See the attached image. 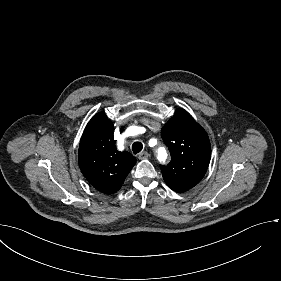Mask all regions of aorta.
<instances>
[{
	"mask_svg": "<svg viewBox=\"0 0 281 281\" xmlns=\"http://www.w3.org/2000/svg\"><path fill=\"white\" fill-rule=\"evenodd\" d=\"M158 153H159V156H160V157H162V158H165V157H166V153H165V151H164L163 148H160V149L158 150Z\"/></svg>",
	"mask_w": 281,
	"mask_h": 281,
	"instance_id": "1",
	"label": "aorta"
}]
</instances>
